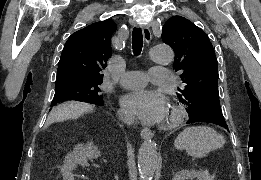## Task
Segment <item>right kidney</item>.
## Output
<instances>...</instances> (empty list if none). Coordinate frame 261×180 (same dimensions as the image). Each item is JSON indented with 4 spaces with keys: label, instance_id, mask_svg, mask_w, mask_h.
<instances>
[{
    "label": "right kidney",
    "instance_id": "ca27d5eb",
    "mask_svg": "<svg viewBox=\"0 0 261 180\" xmlns=\"http://www.w3.org/2000/svg\"><path fill=\"white\" fill-rule=\"evenodd\" d=\"M101 152H99L96 146H93L92 142H88L86 146L84 144H78L75 146L73 152L67 154L65 162L61 168V174L63 180H73L72 170L75 164H86L88 158H99Z\"/></svg>",
    "mask_w": 261,
    "mask_h": 180
}]
</instances>
